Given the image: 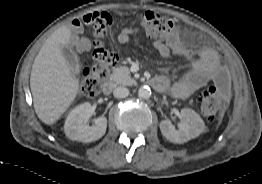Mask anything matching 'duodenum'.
Returning <instances> with one entry per match:
<instances>
[{"instance_id":"obj_1","label":"duodenum","mask_w":262,"mask_h":184,"mask_svg":"<svg viewBox=\"0 0 262 184\" xmlns=\"http://www.w3.org/2000/svg\"><path fill=\"white\" fill-rule=\"evenodd\" d=\"M148 82L155 89L159 87V82L156 81L154 78L150 79ZM112 89H113V82L111 80H107L103 83L102 91L104 94H110L112 92Z\"/></svg>"}]
</instances>
